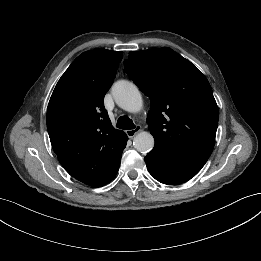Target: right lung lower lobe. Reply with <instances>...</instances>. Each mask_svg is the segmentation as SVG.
<instances>
[{
	"mask_svg": "<svg viewBox=\"0 0 261 261\" xmlns=\"http://www.w3.org/2000/svg\"><path fill=\"white\" fill-rule=\"evenodd\" d=\"M119 166H120V161L117 164V166L114 168V170L105 179H103L101 182L97 183L93 187H100L110 182L116 176Z\"/></svg>",
	"mask_w": 261,
	"mask_h": 261,
	"instance_id": "right-lung-lower-lobe-1",
	"label": "right lung lower lobe"
}]
</instances>
